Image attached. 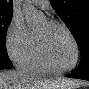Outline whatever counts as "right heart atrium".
Returning <instances> with one entry per match:
<instances>
[{
    "label": "right heart atrium",
    "mask_w": 89,
    "mask_h": 89,
    "mask_svg": "<svg viewBox=\"0 0 89 89\" xmlns=\"http://www.w3.org/2000/svg\"><path fill=\"white\" fill-rule=\"evenodd\" d=\"M5 46L9 57L19 64L33 50L35 35L20 16H13L6 33Z\"/></svg>",
    "instance_id": "right-heart-atrium-1"
}]
</instances>
